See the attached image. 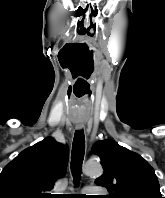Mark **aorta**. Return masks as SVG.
I'll use <instances>...</instances> for the list:
<instances>
[{"instance_id": "1", "label": "aorta", "mask_w": 165, "mask_h": 198, "mask_svg": "<svg viewBox=\"0 0 165 198\" xmlns=\"http://www.w3.org/2000/svg\"><path fill=\"white\" fill-rule=\"evenodd\" d=\"M103 169L99 163H86L84 166V173L89 176H100Z\"/></svg>"}]
</instances>
